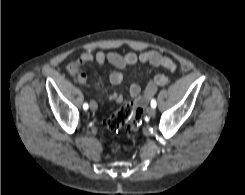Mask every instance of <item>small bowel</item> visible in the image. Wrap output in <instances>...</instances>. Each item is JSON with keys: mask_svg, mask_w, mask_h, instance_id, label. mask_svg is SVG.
Listing matches in <instances>:
<instances>
[{"mask_svg": "<svg viewBox=\"0 0 245 195\" xmlns=\"http://www.w3.org/2000/svg\"><path fill=\"white\" fill-rule=\"evenodd\" d=\"M91 62H96L99 65H103L108 62L119 70L124 69L127 66L135 65L137 63L150 64L154 67L163 68L172 73L175 72L177 68L176 63L170 57L163 55L156 50H147L140 54L128 52L123 55L116 52L103 51H97L96 53L83 52L77 60V65L79 67V81L84 85H87V78L86 75L81 71L80 67ZM124 79L125 76L121 71H115L110 75V82L113 85L122 84ZM167 83V76L164 74H157L148 82L143 91L138 84L131 83L128 86V92L138 106H145L151 97L155 94L158 87L164 86ZM106 97L109 100L117 103H122L124 101V96L119 92L106 93Z\"/></svg>", "mask_w": 245, "mask_h": 195, "instance_id": "1", "label": "small bowel"}]
</instances>
